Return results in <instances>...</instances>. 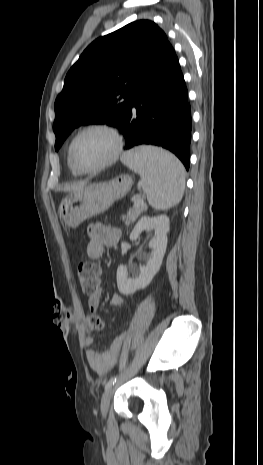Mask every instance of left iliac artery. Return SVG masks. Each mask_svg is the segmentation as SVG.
Masks as SVG:
<instances>
[{"label": "left iliac artery", "instance_id": "left-iliac-artery-1", "mask_svg": "<svg viewBox=\"0 0 263 465\" xmlns=\"http://www.w3.org/2000/svg\"><path fill=\"white\" fill-rule=\"evenodd\" d=\"M117 380V376H114L112 377L105 385V390H107L108 388H110L112 385H114V383L116 382Z\"/></svg>", "mask_w": 263, "mask_h": 465}]
</instances>
